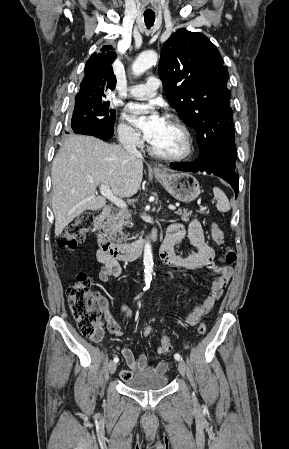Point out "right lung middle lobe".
<instances>
[{
  "label": "right lung middle lobe",
  "instance_id": "1",
  "mask_svg": "<svg viewBox=\"0 0 289 449\" xmlns=\"http://www.w3.org/2000/svg\"><path fill=\"white\" fill-rule=\"evenodd\" d=\"M105 92L99 90L76 95L71 123L74 132L81 124H90L105 131L114 130L116 112L109 107L110 102L106 100Z\"/></svg>",
  "mask_w": 289,
  "mask_h": 449
}]
</instances>
